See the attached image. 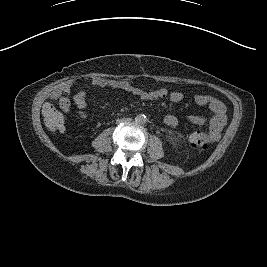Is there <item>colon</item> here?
I'll use <instances>...</instances> for the list:
<instances>
[{
	"instance_id": "1",
	"label": "colon",
	"mask_w": 267,
	"mask_h": 267,
	"mask_svg": "<svg viewBox=\"0 0 267 267\" xmlns=\"http://www.w3.org/2000/svg\"><path fill=\"white\" fill-rule=\"evenodd\" d=\"M42 115L48 130L52 132H59L65 128V117L54 105L49 103L44 104L42 108ZM190 144L195 149L206 150L210 145V141L205 133L199 132L191 135Z\"/></svg>"
}]
</instances>
